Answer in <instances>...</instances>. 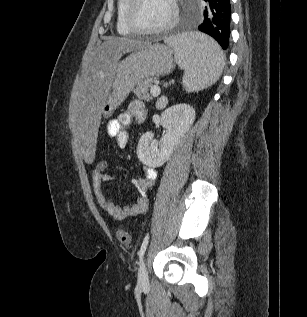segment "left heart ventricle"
Instances as JSON below:
<instances>
[{
	"instance_id": "b2bd125f",
	"label": "left heart ventricle",
	"mask_w": 307,
	"mask_h": 317,
	"mask_svg": "<svg viewBox=\"0 0 307 317\" xmlns=\"http://www.w3.org/2000/svg\"><path fill=\"white\" fill-rule=\"evenodd\" d=\"M133 15L139 27L153 29L168 22L172 6L170 0H139Z\"/></svg>"
}]
</instances>
